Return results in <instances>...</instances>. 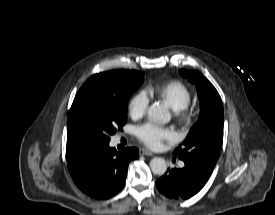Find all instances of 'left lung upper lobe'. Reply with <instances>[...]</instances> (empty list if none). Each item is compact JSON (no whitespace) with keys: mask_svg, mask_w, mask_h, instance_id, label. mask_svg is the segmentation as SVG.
Returning <instances> with one entry per match:
<instances>
[{"mask_svg":"<svg viewBox=\"0 0 275 215\" xmlns=\"http://www.w3.org/2000/svg\"><path fill=\"white\" fill-rule=\"evenodd\" d=\"M195 84L200 100V117L174 155L184 163L213 171L223 143V105L214 86L198 71L180 70Z\"/></svg>","mask_w":275,"mask_h":215,"instance_id":"left-lung-upper-lobe-1","label":"left lung upper lobe"}]
</instances>
